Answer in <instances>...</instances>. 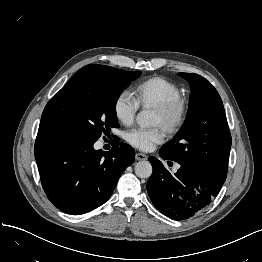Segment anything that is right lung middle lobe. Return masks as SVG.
<instances>
[{
  "mask_svg": "<svg viewBox=\"0 0 262 262\" xmlns=\"http://www.w3.org/2000/svg\"><path fill=\"white\" fill-rule=\"evenodd\" d=\"M141 72L90 64L75 73L47 103L39 128L59 129L97 141L118 128L116 102Z\"/></svg>",
  "mask_w": 262,
  "mask_h": 262,
  "instance_id": "right-lung-middle-lobe-1",
  "label": "right lung middle lobe"
}]
</instances>
